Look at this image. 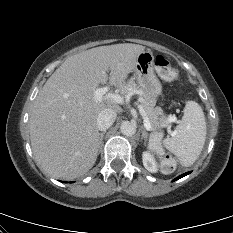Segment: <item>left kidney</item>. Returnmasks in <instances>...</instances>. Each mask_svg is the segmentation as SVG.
I'll return each instance as SVG.
<instances>
[{"label": "left kidney", "instance_id": "obj_1", "mask_svg": "<svg viewBox=\"0 0 233 233\" xmlns=\"http://www.w3.org/2000/svg\"><path fill=\"white\" fill-rule=\"evenodd\" d=\"M143 165L144 167L151 173H155L158 171V164L152 153L149 151H145L142 154Z\"/></svg>", "mask_w": 233, "mask_h": 233}]
</instances>
